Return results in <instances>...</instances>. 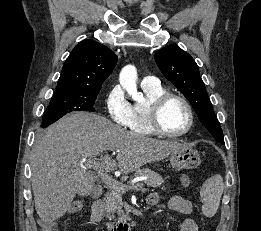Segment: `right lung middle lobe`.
Masks as SVG:
<instances>
[{"label": "right lung middle lobe", "mask_w": 261, "mask_h": 231, "mask_svg": "<svg viewBox=\"0 0 261 231\" xmlns=\"http://www.w3.org/2000/svg\"><path fill=\"white\" fill-rule=\"evenodd\" d=\"M100 90L55 91L42 118L41 127H47L72 111L95 112L94 103Z\"/></svg>", "instance_id": "dd1d6c3e"}]
</instances>
